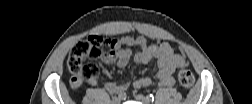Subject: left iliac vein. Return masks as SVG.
Masks as SVG:
<instances>
[{
  "label": "left iliac vein",
  "instance_id": "4c4485c4",
  "mask_svg": "<svg viewBox=\"0 0 252 104\" xmlns=\"http://www.w3.org/2000/svg\"><path fill=\"white\" fill-rule=\"evenodd\" d=\"M135 99H136L138 102L142 103V104H147V103H148L146 97L143 96V95H141V94L136 95V96H135Z\"/></svg>",
  "mask_w": 252,
  "mask_h": 104
}]
</instances>
